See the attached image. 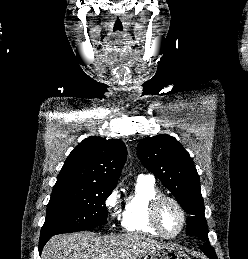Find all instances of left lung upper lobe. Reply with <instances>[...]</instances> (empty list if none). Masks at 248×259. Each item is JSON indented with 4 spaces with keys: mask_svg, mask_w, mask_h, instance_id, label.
<instances>
[{
    "mask_svg": "<svg viewBox=\"0 0 248 259\" xmlns=\"http://www.w3.org/2000/svg\"><path fill=\"white\" fill-rule=\"evenodd\" d=\"M142 164L176 197L187 217V234L207 240V222L200 180L189 153L167 134L142 139L137 147Z\"/></svg>",
    "mask_w": 248,
    "mask_h": 259,
    "instance_id": "1",
    "label": "left lung upper lobe"
}]
</instances>
